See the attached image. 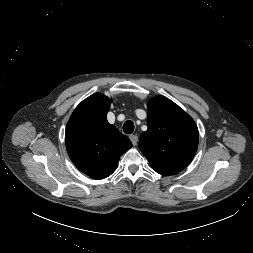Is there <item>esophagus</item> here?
<instances>
[{
    "label": "esophagus",
    "instance_id": "esophagus-1",
    "mask_svg": "<svg viewBox=\"0 0 253 253\" xmlns=\"http://www.w3.org/2000/svg\"><path fill=\"white\" fill-rule=\"evenodd\" d=\"M129 138H130L132 144H133L134 146H136L137 143H138V136H137V135H130Z\"/></svg>",
    "mask_w": 253,
    "mask_h": 253
}]
</instances>
